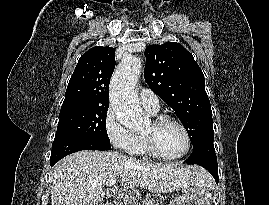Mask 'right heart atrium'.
Instances as JSON below:
<instances>
[{"label": "right heart atrium", "mask_w": 269, "mask_h": 205, "mask_svg": "<svg viewBox=\"0 0 269 205\" xmlns=\"http://www.w3.org/2000/svg\"><path fill=\"white\" fill-rule=\"evenodd\" d=\"M104 131L114 148L130 151L133 147L136 135L123 126L112 107H109L104 116Z\"/></svg>", "instance_id": "right-heart-atrium-1"}]
</instances>
